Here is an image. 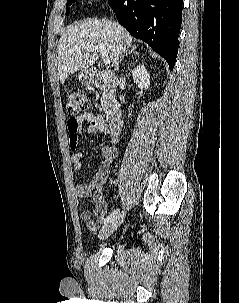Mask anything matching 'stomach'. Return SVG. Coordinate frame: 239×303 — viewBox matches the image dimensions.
Listing matches in <instances>:
<instances>
[{"label":"stomach","mask_w":239,"mask_h":303,"mask_svg":"<svg viewBox=\"0 0 239 303\" xmlns=\"http://www.w3.org/2000/svg\"><path fill=\"white\" fill-rule=\"evenodd\" d=\"M78 78H79V81L81 82V84H83V85H90L92 83V79H91L88 71H82L78 75Z\"/></svg>","instance_id":"stomach-1"}]
</instances>
